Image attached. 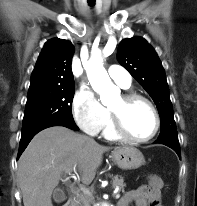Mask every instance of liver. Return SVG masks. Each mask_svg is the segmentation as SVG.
I'll use <instances>...</instances> for the list:
<instances>
[{
	"label": "liver",
	"mask_w": 197,
	"mask_h": 206,
	"mask_svg": "<svg viewBox=\"0 0 197 206\" xmlns=\"http://www.w3.org/2000/svg\"><path fill=\"white\" fill-rule=\"evenodd\" d=\"M108 147L65 127L39 132L18 162V183L24 206H53L51 195L63 172L78 171L89 185Z\"/></svg>",
	"instance_id": "1"
}]
</instances>
